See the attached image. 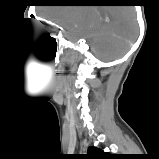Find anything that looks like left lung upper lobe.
I'll return each mask as SVG.
<instances>
[{
    "label": "left lung upper lobe",
    "mask_w": 159,
    "mask_h": 159,
    "mask_svg": "<svg viewBox=\"0 0 159 159\" xmlns=\"http://www.w3.org/2000/svg\"><path fill=\"white\" fill-rule=\"evenodd\" d=\"M115 158H116L115 155L105 153L104 151L93 147H89L88 153L82 157V159H115Z\"/></svg>",
    "instance_id": "obj_1"
}]
</instances>
